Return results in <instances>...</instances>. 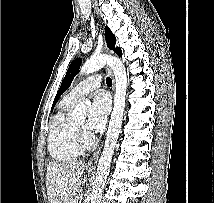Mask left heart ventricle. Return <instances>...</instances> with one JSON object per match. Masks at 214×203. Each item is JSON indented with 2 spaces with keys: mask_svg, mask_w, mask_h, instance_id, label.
<instances>
[{
  "mask_svg": "<svg viewBox=\"0 0 214 203\" xmlns=\"http://www.w3.org/2000/svg\"><path fill=\"white\" fill-rule=\"evenodd\" d=\"M78 126L84 127V121L79 122Z\"/></svg>",
  "mask_w": 214,
  "mask_h": 203,
  "instance_id": "obj_1",
  "label": "left heart ventricle"
}]
</instances>
